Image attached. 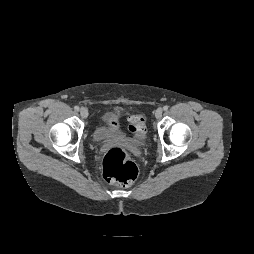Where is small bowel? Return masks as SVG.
I'll return each instance as SVG.
<instances>
[{
  "label": "small bowel",
  "mask_w": 254,
  "mask_h": 254,
  "mask_svg": "<svg viewBox=\"0 0 254 254\" xmlns=\"http://www.w3.org/2000/svg\"><path fill=\"white\" fill-rule=\"evenodd\" d=\"M131 117H129V122L131 121ZM104 121L108 125V127L112 129H117L119 125V118L115 113H108L106 114Z\"/></svg>",
  "instance_id": "1"
}]
</instances>
